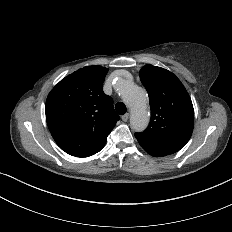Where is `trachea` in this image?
I'll use <instances>...</instances> for the list:
<instances>
[{
    "label": "trachea",
    "instance_id": "obj_1",
    "mask_svg": "<svg viewBox=\"0 0 232 232\" xmlns=\"http://www.w3.org/2000/svg\"><path fill=\"white\" fill-rule=\"evenodd\" d=\"M115 110L119 115H124L127 111L126 105L122 102H118L115 105Z\"/></svg>",
    "mask_w": 232,
    "mask_h": 232
}]
</instances>
